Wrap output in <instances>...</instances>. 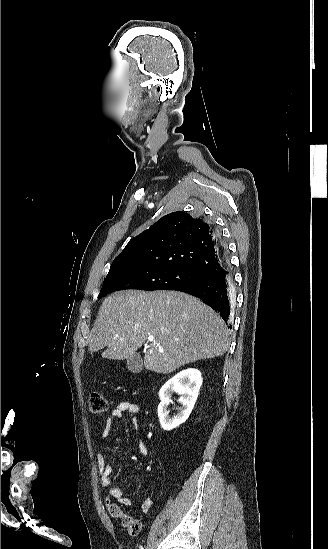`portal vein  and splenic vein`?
Masks as SVG:
<instances>
[{
    "mask_svg": "<svg viewBox=\"0 0 328 549\" xmlns=\"http://www.w3.org/2000/svg\"><path fill=\"white\" fill-rule=\"evenodd\" d=\"M120 341H123V339H120ZM149 341H154L153 337H150ZM154 345H158V347H160L159 343H156V341H154Z\"/></svg>",
    "mask_w": 328,
    "mask_h": 549,
    "instance_id": "portal-vein-and-splenic-vein-1",
    "label": "portal vein and splenic vein"
}]
</instances>
